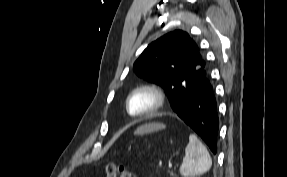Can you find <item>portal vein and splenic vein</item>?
I'll return each mask as SVG.
<instances>
[{"label":"portal vein and splenic vein","mask_w":287,"mask_h":177,"mask_svg":"<svg viewBox=\"0 0 287 177\" xmlns=\"http://www.w3.org/2000/svg\"><path fill=\"white\" fill-rule=\"evenodd\" d=\"M173 165L171 163L168 164V168L171 169Z\"/></svg>","instance_id":"18ae733b"}]
</instances>
